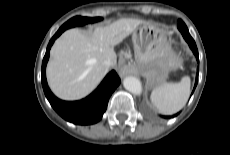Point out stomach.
Instances as JSON below:
<instances>
[{"label": "stomach", "instance_id": "1", "mask_svg": "<svg viewBox=\"0 0 230 155\" xmlns=\"http://www.w3.org/2000/svg\"><path fill=\"white\" fill-rule=\"evenodd\" d=\"M168 36L167 27L149 21L143 22L132 33L135 56L138 62L148 66L145 74L151 88L157 87L170 70L182 64L181 57L172 50Z\"/></svg>", "mask_w": 230, "mask_h": 155}]
</instances>
